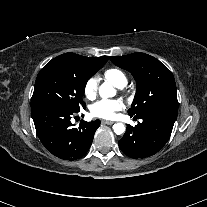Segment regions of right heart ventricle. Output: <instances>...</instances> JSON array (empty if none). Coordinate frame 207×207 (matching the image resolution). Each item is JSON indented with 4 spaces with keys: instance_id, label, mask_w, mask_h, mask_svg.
<instances>
[{
    "instance_id": "obj_1",
    "label": "right heart ventricle",
    "mask_w": 207,
    "mask_h": 207,
    "mask_svg": "<svg viewBox=\"0 0 207 207\" xmlns=\"http://www.w3.org/2000/svg\"><path fill=\"white\" fill-rule=\"evenodd\" d=\"M104 77L110 81L114 86L120 88L127 84V77L123 71L117 68H110L104 72Z\"/></svg>"
}]
</instances>
